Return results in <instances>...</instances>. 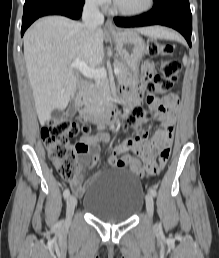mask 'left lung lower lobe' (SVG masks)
I'll return each mask as SVG.
<instances>
[{"label": "left lung lower lobe", "instance_id": "obj_1", "mask_svg": "<svg viewBox=\"0 0 219 258\" xmlns=\"http://www.w3.org/2000/svg\"><path fill=\"white\" fill-rule=\"evenodd\" d=\"M119 27H141L164 25L179 31L191 47L192 14L188 0H154L151 11L140 16L116 17Z\"/></svg>", "mask_w": 219, "mask_h": 258}]
</instances>
